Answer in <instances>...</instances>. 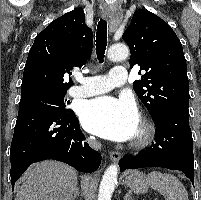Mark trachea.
Segmentation results:
<instances>
[{"label":"trachea","mask_w":201,"mask_h":200,"mask_svg":"<svg viewBox=\"0 0 201 200\" xmlns=\"http://www.w3.org/2000/svg\"><path fill=\"white\" fill-rule=\"evenodd\" d=\"M107 46V21L100 19L96 32V54L100 63L103 62Z\"/></svg>","instance_id":"trachea-1"}]
</instances>
